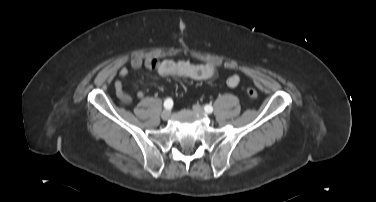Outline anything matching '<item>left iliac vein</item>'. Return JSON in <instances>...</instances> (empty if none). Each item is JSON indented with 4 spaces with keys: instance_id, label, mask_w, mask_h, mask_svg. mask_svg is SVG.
<instances>
[{
    "instance_id": "obj_1",
    "label": "left iliac vein",
    "mask_w": 376,
    "mask_h": 202,
    "mask_svg": "<svg viewBox=\"0 0 376 202\" xmlns=\"http://www.w3.org/2000/svg\"><path fill=\"white\" fill-rule=\"evenodd\" d=\"M193 110L199 114H202L204 115L205 114V111L204 109L199 105V104H194L193 105Z\"/></svg>"
}]
</instances>
